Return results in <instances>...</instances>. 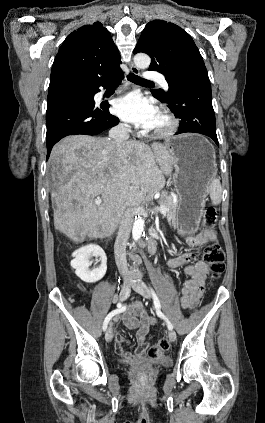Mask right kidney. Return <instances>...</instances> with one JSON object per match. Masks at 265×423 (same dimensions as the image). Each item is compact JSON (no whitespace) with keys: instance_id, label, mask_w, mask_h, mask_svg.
<instances>
[{"instance_id":"obj_1","label":"right kidney","mask_w":265,"mask_h":423,"mask_svg":"<svg viewBox=\"0 0 265 423\" xmlns=\"http://www.w3.org/2000/svg\"><path fill=\"white\" fill-rule=\"evenodd\" d=\"M72 256L71 267L75 269V274L86 283H95L102 279L107 270V257L103 249L96 245L90 244L76 250ZM91 256L99 257L101 264L98 268L90 270Z\"/></svg>"}]
</instances>
